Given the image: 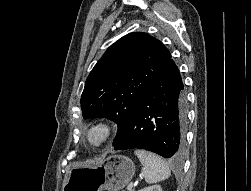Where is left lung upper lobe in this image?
<instances>
[{"label":"left lung upper lobe","instance_id":"left-lung-upper-lobe-1","mask_svg":"<svg viewBox=\"0 0 251 191\" xmlns=\"http://www.w3.org/2000/svg\"><path fill=\"white\" fill-rule=\"evenodd\" d=\"M171 59L162 42L130 33L110 46L90 72L81 96L84 119L106 117L122 136L142 98Z\"/></svg>","mask_w":251,"mask_h":191}]
</instances>
